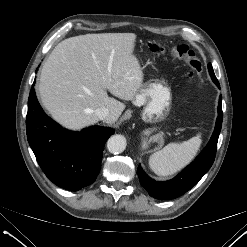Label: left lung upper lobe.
Segmentation results:
<instances>
[{"label":"left lung upper lobe","instance_id":"left-lung-upper-lobe-1","mask_svg":"<svg viewBox=\"0 0 247 247\" xmlns=\"http://www.w3.org/2000/svg\"><path fill=\"white\" fill-rule=\"evenodd\" d=\"M208 70H209V73L211 75V78L217 79L216 76H215V74H214V71H213V68H212V65L211 64L208 65Z\"/></svg>","mask_w":247,"mask_h":247}]
</instances>
